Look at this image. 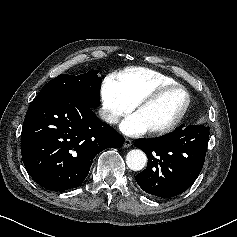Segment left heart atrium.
Segmentation results:
<instances>
[{
	"instance_id": "left-heart-atrium-1",
	"label": "left heart atrium",
	"mask_w": 237,
	"mask_h": 237,
	"mask_svg": "<svg viewBox=\"0 0 237 237\" xmlns=\"http://www.w3.org/2000/svg\"><path fill=\"white\" fill-rule=\"evenodd\" d=\"M120 129L124 134L130 135V136L140 135L147 131L146 126L144 125V123L141 121V119L136 113L131 114L128 117H126L122 121L120 125Z\"/></svg>"
}]
</instances>
